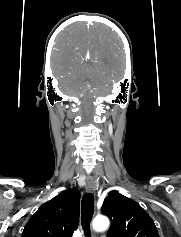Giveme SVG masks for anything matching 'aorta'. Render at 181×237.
Listing matches in <instances>:
<instances>
[{
	"label": "aorta",
	"mask_w": 181,
	"mask_h": 237,
	"mask_svg": "<svg viewBox=\"0 0 181 237\" xmlns=\"http://www.w3.org/2000/svg\"><path fill=\"white\" fill-rule=\"evenodd\" d=\"M92 227L95 231H105L109 227V219L105 216H97L94 218Z\"/></svg>",
	"instance_id": "762f6f07"
}]
</instances>
